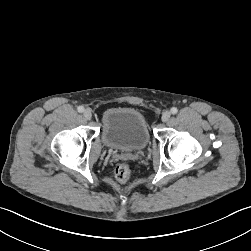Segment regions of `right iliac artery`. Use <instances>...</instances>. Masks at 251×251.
Masks as SVG:
<instances>
[{
  "instance_id": "obj_1",
  "label": "right iliac artery",
  "mask_w": 251,
  "mask_h": 251,
  "mask_svg": "<svg viewBox=\"0 0 251 251\" xmlns=\"http://www.w3.org/2000/svg\"><path fill=\"white\" fill-rule=\"evenodd\" d=\"M77 110H78V112L82 113V112L84 111V107H83V106H79V107L77 108Z\"/></svg>"
}]
</instances>
